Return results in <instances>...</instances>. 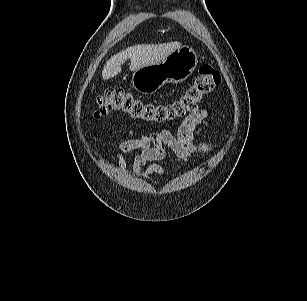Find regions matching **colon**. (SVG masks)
Segmentation results:
<instances>
[{"mask_svg":"<svg viewBox=\"0 0 307 301\" xmlns=\"http://www.w3.org/2000/svg\"><path fill=\"white\" fill-rule=\"evenodd\" d=\"M221 82V75L210 64H203L199 75L184 92L169 103L145 101L122 89H111L97 99V115L121 112L129 118L150 124H168L193 115L203 99Z\"/></svg>","mask_w":307,"mask_h":301,"instance_id":"1","label":"colon"}]
</instances>
